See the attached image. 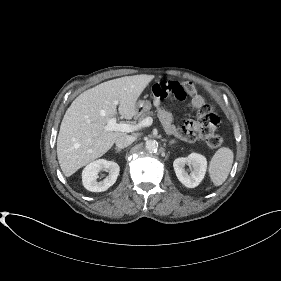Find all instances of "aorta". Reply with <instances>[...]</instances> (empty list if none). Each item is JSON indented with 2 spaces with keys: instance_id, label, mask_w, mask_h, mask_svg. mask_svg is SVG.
I'll return each instance as SVG.
<instances>
[{
  "instance_id": "aorta-1",
  "label": "aorta",
  "mask_w": 281,
  "mask_h": 281,
  "mask_svg": "<svg viewBox=\"0 0 281 281\" xmlns=\"http://www.w3.org/2000/svg\"><path fill=\"white\" fill-rule=\"evenodd\" d=\"M145 148L149 152H155L158 149V142L156 140H147L145 143Z\"/></svg>"
}]
</instances>
